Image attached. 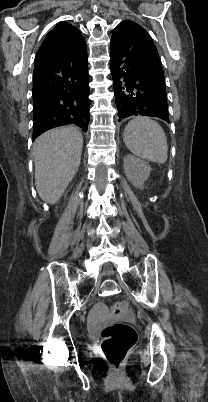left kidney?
<instances>
[{
  "instance_id": "5707ae66",
  "label": "left kidney",
  "mask_w": 208,
  "mask_h": 402,
  "mask_svg": "<svg viewBox=\"0 0 208 402\" xmlns=\"http://www.w3.org/2000/svg\"><path fill=\"white\" fill-rule=\"evenodd\" d=\"M124 172L127 180L136 186V188H144L146 180H148L151 172V166L145 160H140L136 156H125Z\"/></svg>"
}]
</instances>
